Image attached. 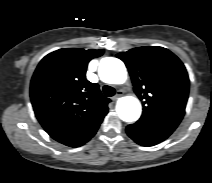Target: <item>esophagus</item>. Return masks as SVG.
I'll use <instances>...</instances> for the list:
<instances>
[{
    "label": "esophagus",
    "mask_w": 212,
    "mask_h": 183,
    "mask_svg": "<svg viewBox=\"0 0 212 183\" xmlns=\"http://www.w3.org/2000/svg\"><path fill=\"white\" fill-rule=\"evenodd\" d=\"M123 95V92L121 90H118L116 95L112 97L113 101H116L119 97Z\"/></svg>",
    "instance_id": "obj_1"
}]
</instances>
